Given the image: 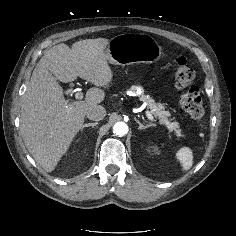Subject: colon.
I'll return each instance as SVG.
<instances>
[{
  "label": "colon",
  "mask_w": 236,
  "mask_h": 236,
  "mask_svg": "<svg viewBox=\"0 0 236 236\" xmlns=\"http://www.w3.org/2000/svg\"><path fill=\"white\" fill-rule=\"evenodd\" d=\"M194 78L195 72L189 66L186 58H178L175 86L181 92L180 105L192 119L200 120L204 115V107L200 92L193 84Z\"/></svg>",
  "instance_id": "colon-1"
}]
</instances>
